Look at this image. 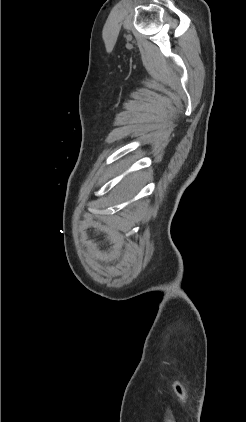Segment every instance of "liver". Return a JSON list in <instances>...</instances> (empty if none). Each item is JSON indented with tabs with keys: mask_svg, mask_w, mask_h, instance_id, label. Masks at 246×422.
I'll return each mask as SVG.
<instances>
[{
	"mask_svg": "<svg viewBox=\"0 0 246 422\" xmlns=\"http://www.w3.org/2000/svg\"><path fill=\"white\" fill-rule=\"evenodd\" d=\"M145 173H140V174H134L132 176H130L129 178L124 180L123 186L130 188L131 191L136 190L137 186L140 184V182L142 181V179L144 178Z\"/></svg>",
	"mask_w": 246,
	"mask_h": 422,
	"instance_id": "1",
	"label": "liver"
}]
</instances>
